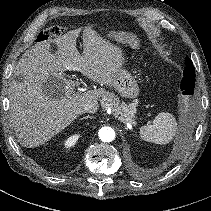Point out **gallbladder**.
Here are the masks:
<instances>
[{"label":"gallbladder","instance_id":"gallbladder-1","mask_svg":"<svg viewBox=\"0 0 211 211\" xmlns=\"http://www.w3.org/2000/svg\"><path fill=\"white\" fill-rule=\"evenodd\" d=\"M57 51L56 46L54 44L50 45V52L55 53ZM55 83L63 84L64 81L61 77L51 76L49 80L43 85L44 91L50 95L51 97L57 98L59 96L58 93L54 92L51 87L55 85Z\"/></svg>","mask_w":211,"mask_h":211}]
</instances>
